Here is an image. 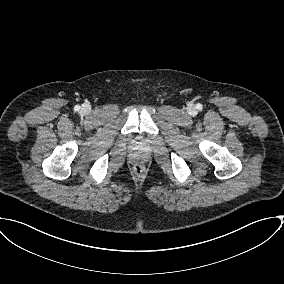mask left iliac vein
Wrapping results in <instances>:
<instances>
[{"instance_id": "4c4485c4", "label": "left iliac vein", "mask_w": 284, "mask_h": 284, "mask_svg": "<svg viewBox=\"0 0 284 284\" xmlns=\"http://www.w3.org/2000/svg\"><path fill=\"white\" fill-rule=\"evenodd\" d=\"M188 111H189L190 114H194V113H195V108L192 107V106H190V107L188 108Z\"/></svg>"}]
</instances>
